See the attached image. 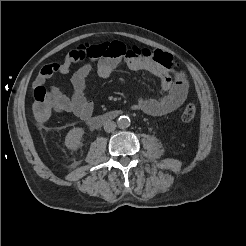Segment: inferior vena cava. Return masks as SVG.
<instances>
[{
  "label": "inferior vena cava",
  "mask_w": 246,
  "mask_h": 246,
  "mask_svg": "<svg viewBox=\"0 0 246 246\" xmlns=\"http://www.w3.org/2000/svg\"><path fill=\"white\" fill-rule=\"evenodd\" d=\"M116 123L114 121H107L104 123V130L108 133L113 132L116 129Z\"/></svg>",
  "instance_id": "1"
}]
</instances>
